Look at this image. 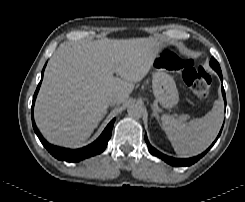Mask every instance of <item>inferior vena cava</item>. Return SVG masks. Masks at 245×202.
<instances>
[{"mask_svg": "<svg viewBox=\"0 0 245 202\" xmlns=\"http://www.w3.org/2000/svg\"><path fill=\"white\" fill-rule=\"evenodd\" d=\"M119 101H120V97L118 94H111L106 98V103L110 106L118 104Z\"/></svg>", "mask_w": 245, "mask_h": 202, "instance_id": "602c4592", "label": "inferior vena cava"}]
</instances>
